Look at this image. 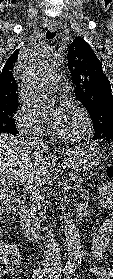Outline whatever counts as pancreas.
Here are the masks:
<instances>
[{"label": "pancreas", "instance_id": "1", "mask_svg": "<svg viewBox=\"0 0 113 279\" xmlns=\"http://www.w3.org/2000/svg\"><path fill=\"white\" fill-rule=\"evenodd\" d=\"M70 181L73 182L74 187L77 191H82L83 188V179L78 173H70L69 174ZM40 197H34L32 199V212L35 219V224H40V222L43 220V211H41V207L44 205L43 201L45 199V194L41 193Z\"/></svg>", "mask_w": 113, "mask_h": 279}]
</instances>
